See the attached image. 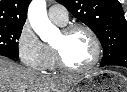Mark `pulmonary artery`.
<instances>
[{"instance_id":"pulmonary-artery-1","label":"pulmonary artery","mask_w":127,"mask_h":92,"mask_svg":"<svg viewBox=\"0 0 127 92\" xmlns=\"http://www.w3.org/2000/svg\"><path fill=\"white\" fill-rule=\"evenodd\" d=\"M48 15L53 21L60 24H65L68 21V11L60 4H54L49 7Z\"/></svg>"}]
</instances>
